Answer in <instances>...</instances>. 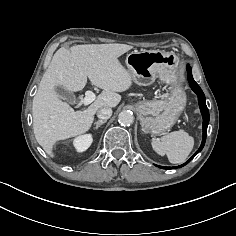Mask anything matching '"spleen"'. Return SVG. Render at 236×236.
<instances>
[{
    "instance_id": "1",
    "label": "spleen",
    "mask_w": 236,
    "mask_h": 236,
    "mask_svg": "<svg viewBox=\"0 0 236 236\" xmlns=\"http://www.w3.org/2000/svg\"><path fill=\"white\" fill-rule=\"evenodd\" d=\"M151 145L159 155H167L173 164L183 163L193 150L194 138L186 131L171 132L162 138L153 139Z\"/></svg>"
}]
</instances>
